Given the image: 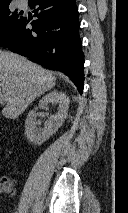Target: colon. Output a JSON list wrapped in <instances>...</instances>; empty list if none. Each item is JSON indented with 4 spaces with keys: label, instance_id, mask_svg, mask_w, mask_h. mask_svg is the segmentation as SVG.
I'll use <instances>...</instances> for the list:
<instances>
[{
    "label": "colon",
    "instance_id": "5ec220e1",
    "mask_svg": "<svg viewBox=\"0 0 128 213\" xmlns=\"http://www.w3.org/2000/svg\"><path fill=\"white\" fill-rule=\"evenodd\" d=\"M0 190L5 191V192H10L12 190L11 182L5 176L0 177Z\"/></svg>",
    "mask_w": 128,
    "mask_h": 213
}]
</instances>
